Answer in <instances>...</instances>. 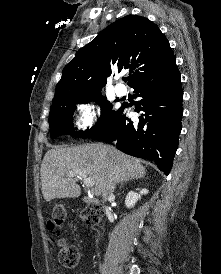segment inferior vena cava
<instances>
[{"label": "inferior vena cava", "instance_id": "obj_1", "mask_svg": "<svg viewBox=\"0 0 221 274\" xmlns=\"http://www.w3.org/2000/svg\"><path fill=\"white\" fill-rule=\"evenodd\" d=\"M115 189V183L111 182V184L107 187L105 191L102 193L103 200L106 201L108 197L113 195Z\"/></svg>", "mask_w": 221, "mask_h": 274}]
</instances>
